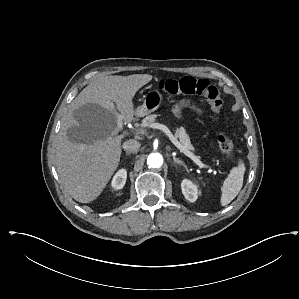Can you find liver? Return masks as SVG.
<instances>
[{"label":"liver","mask_w":299,"mask_h":299,"mask_svg":"<svg viewBox=\"0 0 299 299\" xmlns=\"http://www.w3.org/2000/svg\"><path fill=\"white\" fill-rule=\"evenodd\" d=\"M152 78L149 74L100 77L71 103L59 133L56 167L64 189L76 201L95 200L116 171L121 141L128 134H118L117 119L135 120L133 98Z\"/></svg>","instance_id":"obj_1"}]
</instances>
